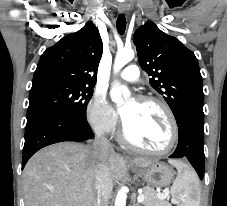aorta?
Masks as SVG:
<instances>
[{
    "label": "aorta",
    "mask_w": 227,
    "mask_h": 206,
    "mask_svg": "<svg viewBox=\"0 0 227 206\" xmlns=\"http://www.w3.org/2000/svg\"><path fill=\"white\" fill-rule=\"evenodd\" d=\"M134 51L132 49H123L117 52L115 57L113 70L114 73H118L127 63L134 58ZM111 100L120 105L123 103V99L130 97V92L125 85H121L118 81H115L110 90ZM126 192L124 188H121L115 199V206H126Z\"/></svg>",
    "instance_id": "1"
}]
</instances>
